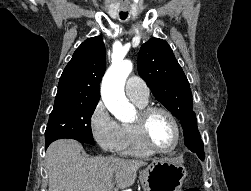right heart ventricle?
<instances>
[{"mask_svg":"<svg viewBox=\"0 0 251 191\" xmlns=\"http://www.w3.org/2000/svg\"><path fill=\"white\" fill-rule=\"evenodd\" d=\"M135 102L141 107L147 105L148 101ZM121 129L122 140L118 151L125 155L141 158H147L153 155V153L140 141L136 128L133 126V124H122Z\"/></svg>","mask_w":251,"mask_h":191,"instance_id":"right-heart-ventricle-1","label":"right heart ventricle"}]
</instances>
